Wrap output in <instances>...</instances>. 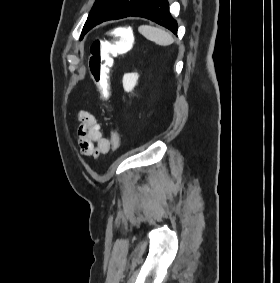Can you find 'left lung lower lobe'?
<instances>
[{
  "mask_svg": "<svg viewBox=\"0 0 280 283\" xmlns=\"http://www.w3.org/2000/svg\"><path fill=\"white\" fill-rule=\"evenodd\" d=\"M129 16L150 19L158 23L159 25L169 29L174 34H177V22L172 18L169 12V4L167 0H146L138 9H136ZM120 18L125 17H119L111 20H116Z\"/></svg>",
  "mask_w": 280,
  "mask_h": 283,
  "instance_id": "left-lung-lower-lobe-1",
  "label": "left lung lower lobe"
}]
</instances>
